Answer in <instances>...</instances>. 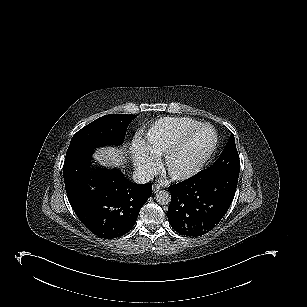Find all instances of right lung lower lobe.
Here are the masks:
<instances>
[{
  "instance_id": "right-lung-lower-lobe-1",
  "label": "right lung lower lobe",
  "mask_w": 307,
  "mask_h": 307,
  "mask_svg": "<svg viewBox=\"0 0 307 307\" xmlns=\"http://www.w3.org/2000/svg\"><path fill=\"white\" fill-rule=\"evenodd\" d=\"M90 155H66L63 176L69 203L92 233L106 239L120 237L136 223L152 185L132 183L119 170H91Z\"/></svg>"
}]
</instances>
